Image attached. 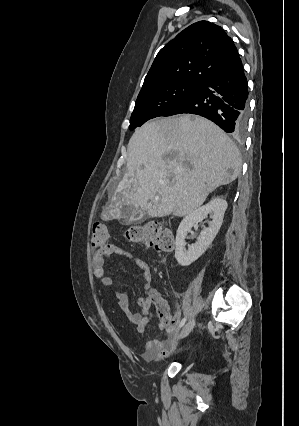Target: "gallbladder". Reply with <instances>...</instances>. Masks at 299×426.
I'll list each match as a JSON object with an SVG mask.
<instances>
[{
  "label": "gallbladder",
  "instance_id": "obj_1",
  "mask_svg": "<svg viewBox=\"0 0 299 426\" xmlns=\"http://www.w3.org/2000/svg\"><path fill=\"white\" fill-rule=\"evenodd\" d=\"M122 217L126 224H131L144 221L147 219V214L132 205H128L122 208Z\"/></svg>",
  "mask_w": 299,
  "mask_h": 426
}]
</instances>
